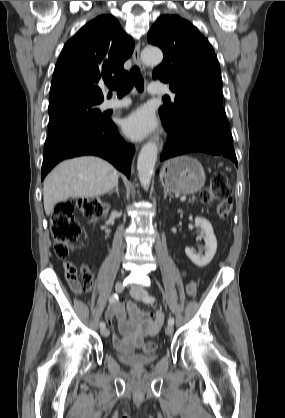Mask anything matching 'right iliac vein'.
<instances>
[{"mask_svg":"<svg viewBox=\"0 0 285 418\" xmlns=\"http://www.w3.org/2000/svg\"><path fill=\"white\" fill-rule=\"evenodd\" d=\"M123 289H124V284H123L122 282H117V283L115 284V290H116V292L120 293V292H122V291H123ZM101 334H102L104 337H107V336H109L110 331H109V329H108V328H103V329L101 330Z\"/></svg>","mask_w":285,"mask_h":418,"instance_id":"63e3f726","label":"right iliac vein"}]
</instances>
